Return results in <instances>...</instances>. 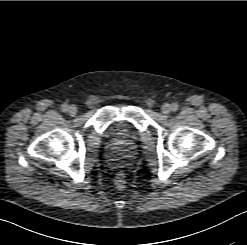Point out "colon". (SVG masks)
Masks as SVG:
<instances>
[{"label":"colon","mask_w":247,"mask_h":245,"mask_svg":"<svg viewBox=\"0 0 247 245\" xmlns=\"http://www.w3.org/2000/svg\"><path fill=\"white\" fill-rule=\"evenodd\" d=\"M115 183H116V186L118 188H124L125 187L126 179H125V175L122 172L117 174L116 179H115Z\"/></svg>","instance_id":"1"}]
</instances>
